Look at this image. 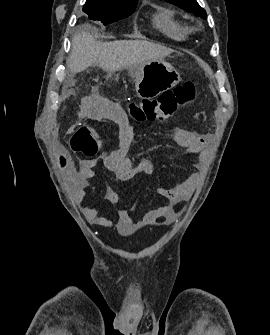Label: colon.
Returning <instances> with one entry per match:
<instances>
[{
  "label": "colon",
  "mask_w": 270,
  "mask_h": 335,
  "mask_svg": "<svg viewBox=\"0 0 270 335\" xmlns=\"http://www.w3.org/2000/svg\"><path fill=\"white\" fill-rule=\"evenodd\" d=\"M195 92L192 83H184L174 89L165 90L158 98H144L140 103H130L129 113L139 123L161 121L184 106ZM70 146L73 153L85 158H94L100 151L101 141L92 127L81 126L72 135Z\"/></svg>",
  "instance_id": "obj_1"
}]
</instances>
